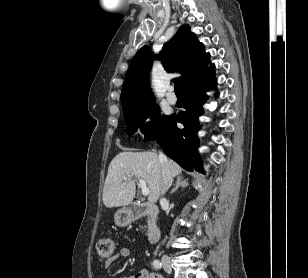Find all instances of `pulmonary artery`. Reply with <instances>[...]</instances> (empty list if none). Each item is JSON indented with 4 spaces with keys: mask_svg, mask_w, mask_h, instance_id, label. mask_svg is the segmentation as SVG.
Segmentation results:
<instances>
[{
    "mask_svg": "<svg viewBox=\"0 0 308 278\" xmlns=\"http://www.w3.org/2000/svg\"><path fill=\"white\" fill-rule=\"evenodd\" d=\"M166 98H167V101L170 104H175L177 102V97H176L175 93L173 92V88L172 87L168 88V91H167V94H166Z\"/></svg>",
    "mask_w": 308,
    "mask_h": 278,
    "instance_id": "e3ab8cb5",
    "label": "pulmonary artery"
}]
</instances>
